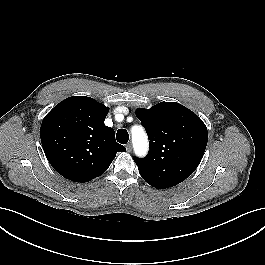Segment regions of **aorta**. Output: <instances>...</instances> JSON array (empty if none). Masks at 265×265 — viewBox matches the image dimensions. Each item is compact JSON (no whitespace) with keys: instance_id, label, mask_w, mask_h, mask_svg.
I'll list each match as a JSON object with an SVG mask.
<instances>
[{"instance_id":"1","label":"aorta","mask_w":265,"mask_h":265,"mask_svg":"<svg viewBox=\"0 0 265 265\" xmlns=\"http://www.w3.org/2000/svg\"><path fill=\"white\" fill-rule=\"evenodd\" d=\"M132 142L134 150L138 155H145L148 151L147 135L141 127L132 129Z\"/></svg>"}]
</instances>
